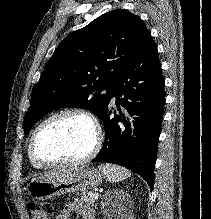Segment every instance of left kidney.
I'll return each mask as SVG.
<instances>
[{"label":"left kidney","instance_id":"obj_1","mask_svg":"<svg viewBox=\"0 0 211 219\" xmlns=\"http://www.w3.org/2000/svg\"><path fill=\"white\" fill-rule=\"evenodd\" d=\"M114 194H116V195H118V196H121L120 197V202H117V204H120L121 206H123V200H125L127 197H128V195L127 194H125L124 192H121V191H118V190H116V191H114ZM120 194V195H119ZM121 216V218H123L124 217V215L123 214H121V213H118V216L117 217H120ZM126 219V218H125ZM129 219H134L133 217H129Z\"/></svg>","mask_w":211,"mask_h":219}]
</instances>
